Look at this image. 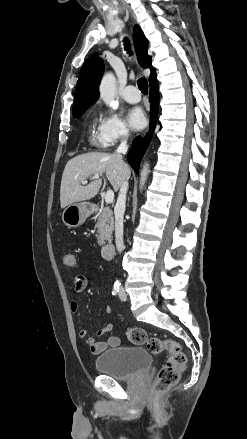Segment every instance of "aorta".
<instances>
[{"instance_id": "obj_1", "label": "aorta", "mask_w": 247, "mask_h": 439, "mask_svg": "<svg viewBox=\"0 0 247 439\" xmlns=\"http://www.w3.org/2000/svg\"><path fill=\"white\" fill-rule=\"evenodd\" d=\"M100 98L105 102L106 105L115 108L116 107V78L113 73H106L99 86ZM149 172V164L145 163L141 171L140 177V188L142 189Z\"/></svg>"}]
</instances>
